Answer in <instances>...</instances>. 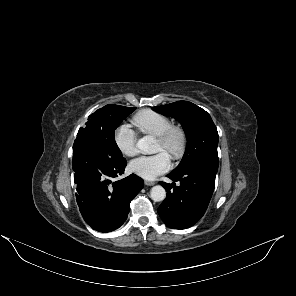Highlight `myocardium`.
Returning a JSON list of instances; mask_svg holds the SVG:
<instances>
[{
	"mask_svg": "<svg viewBox=\"0 0 296 296\" xmlns=\"http://www.w3.org/2000/svg\"><path fill=\"white\" fill-rule=\"evenodd\" d=\"M162 147L169 152L173 160H179L186 149L187 135L178 125H171L164 133L156 137Z\"/></svg>",
	"mask_w": 296,
	"mask_h": 296,
	"instance_id": "obj_1",
	"label": "myocardium"
}]
</instances>
